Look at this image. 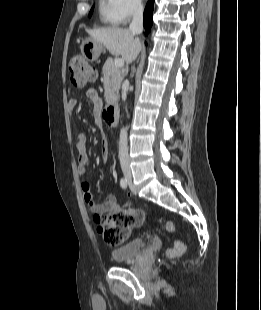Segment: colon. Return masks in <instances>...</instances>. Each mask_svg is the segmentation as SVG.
<instances>
[{"label":"colon","instance_id":"colon-1","mask_svg":"<svg viewBox=\"0 0 261 310\" xmlns=\"http://www.w3.org/2000/svg\"><path fill=\"white\" fill-rule=\"evenodd\" d=\"M69 69L71 73V83L76 88H84L96 77L94 66L81 56H74L71 58ZM130 204L132 205L133 203L131 202ZM127 208L129 209L128 211L109 213L97 217L99 232L109 245H119L123 243L128 238L130 230L133 227H141V221H144L145 217L142 208L133 209V206H128ZM163 230L169 233L173 232L174 224L171 221H165ZM184 250V243L175 241L174 245L167 250L166 254L170 258H175L180 256Z\"/></svg>","mask_w":261,"mask_h":310}]
</instances>
